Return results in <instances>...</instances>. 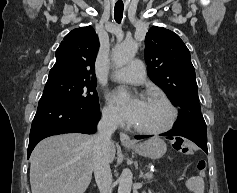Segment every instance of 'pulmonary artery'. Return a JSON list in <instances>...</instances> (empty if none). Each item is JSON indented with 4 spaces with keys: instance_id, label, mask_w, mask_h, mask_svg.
Masks as SVG:
<instances>
[{
    "instance_id": "1",
    "label": "pulmonary artery",
    "mask_w": 237,
    "mask_h": 193,
    "mask_svg": "<svg viewBox=\"0 0 237 193\" xmlns=\"http://www.w3.org/2000/svg\"><path fill=\"white\" fill-rule=\"evenodd\" d=\"M111 78L115 81L135 85L142 84L145 81V71L142 61L133 60L129 65L114 72Z\"/></svg>"
}]
</instances>
